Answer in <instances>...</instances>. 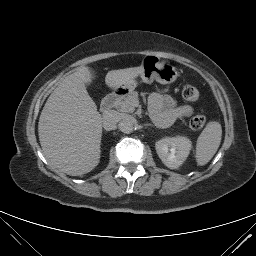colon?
<instances>
[{
	"label": "colon",
	"instance_id": "1",
	"mask_svg": "<svg viewBox=\"0 0 256 256\" xmlns=\"http://www.w3.org/2000/svg\"><path fill=\"white\" fill-rule=\"evenodd\" d=\"M200 93L198 89L192 85H187L182 90V98L186 102H195L199 99ZM207 118L205 115H196L191 118L189 126L193 130L202 129L206 124Z\"/></svg>",
	"mask_w": 256,
	"mask_h": 256
}]
</instances>
